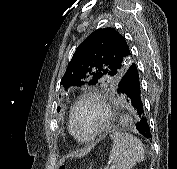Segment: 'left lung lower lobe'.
<instances>
[{
  "label": "left lung lower lobe",
  "instance_id": "1",
  "mask_svg": "<svg viewBox=\"0 0 177 169\" xmlns=\"http://www.w3.org/2000/svg\"><path fill=\"white\" fill-rule=\"evenodd\" d=\"M117 92L129 98V103L139 116V121L136 123V129L144 137L151 140L152 135L141 98L139 71L135 63H132L122 76L117 85Z\"/></svg>",
  "mask_w": 177,
  "mask_h": 169
}]
</instances>
